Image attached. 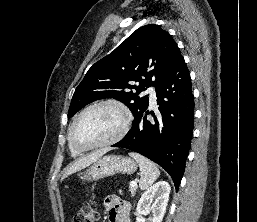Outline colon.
Here are the masks:
<instances>
[{
  "label": "colon",
  "instance_id": "5ec220e1",
  "mask_svg": "<svg viewBox=\"0 0 257 222\" xmlns=\"http://www.w3.org/2000/svg\"><path fill=\"white\" fill-rule=\"evenodd\" d=\"M98 216L97 204L90 201L80 212L74 215L70 222H95Z\"/></svg>",
  "mask_w": 257,
  "mask_h": 222
}]
</instances>
